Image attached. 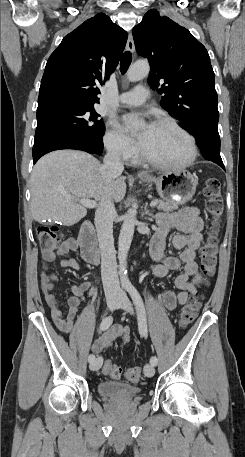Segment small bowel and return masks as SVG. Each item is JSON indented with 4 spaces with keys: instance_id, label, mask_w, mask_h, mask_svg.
<instances>
[{
    "instance_id": "small-bowel-1",
    "label": "small bowel",
    "mask_w": 245,
    "mask_h": 457,
    "mask_svg": "<svg viewBox=\"0 0 245 457\" xmlns=\"http://www.w3.org/2000/svg\"><path fill=\"white\" fill-rule=\"evenodd\" d=\"M156 220L158 228L150 245L151 257L156 262L151 267L152 274L156 277H165L169 271L178 270L183 264V273L175 279V286L178 291L169 290L162 296L164 306L173 310L186 303L189 294L195 292L196 286L200 282L196 251L202 242L204 220L197 207H187L174 213H160ZM172 231L178 232L172 239V245L175 249L182 250L179 257L165 256L163 252L165 238ZM78 248V241L71 238L65 240L55 253L43 254L40 286L55 325L61 332L69 336L71 345L79 350L100 353L118 339L123 342L128 341L129 328L114 325L93 341L87 329L73 322L85 294L96 295V289L92 283L84 281L71 287L72 296L67 301L68 310L65 315L53 294L54 284L58 281V277L50 273V263L55 258L77 251ZM61 265L74 270L80 269V265L73 258L62 259Z\"/></svg>"
}]
</instances>
